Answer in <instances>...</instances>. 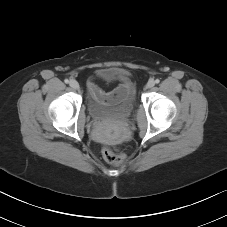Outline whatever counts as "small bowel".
<instances>
[{
  "label": "small bowel",
  "instance_id": "1",
  "mask_svg": "<svg viewBox=\"0 0 227 227\" xmlns=\"http://www.w3.org/2000/svg\"><path fill=\"white\" fill-rule=\"evenodd\" d=\"M114 72H110L106 74L105 77H111L113 76ZM120 81L121 83L111 92H105L103 91L98 85H96L93 82L88 83V88L90 95L93 99L102 101V102H114L119 100L128 90L130 82L128 78L121 74L120 75Z\"/></svg>",
  "mask_w": 227,
  "mask_h": 227
}]
</instances>
